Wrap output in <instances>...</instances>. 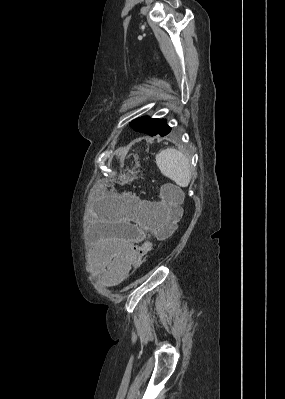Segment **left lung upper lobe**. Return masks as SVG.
I'll return each mask as SVG.
<instances>
[{
  "label": "left lung upper lobe",
  "instance_id": "5c2ea615",
  "mask_svg": "<svg viewBox=\"0 0 285 399\" xmlns=\"http://www.w3.org/2000/svg\"><path fill=\"white\" fill-rule=\"evenodd\" d=\"M130 126L135 130L147 133L150 136L160 135L164 136L171 131V127L167 125L163 119H152L149 117H141L133 120Z\"/></svg>",
  "mask_w": 285,
  "mask_h": 399
}]
</instances>
